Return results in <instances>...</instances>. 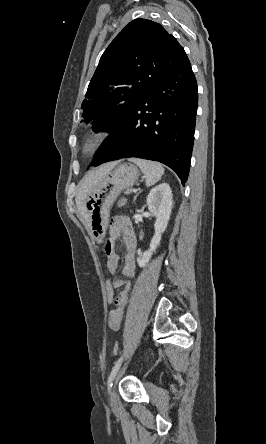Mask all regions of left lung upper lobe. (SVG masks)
<instances>
[{"instance_id":"5c2ea615","label":"left lung upper lobe","mask_w":266,"mask_h":444,"mask_svg":"<svg viewBox=\"0 0 266 444\" xmlns=\"http://www.w3.org/2000/svg\"><path fill=\"white\" fill-rule=\"evenodd\" d=\"M185 56L183 47L159 23L131 21L100 58L82 103L83 121L94 131H113Z\"/></svg>"}]
</instances>
